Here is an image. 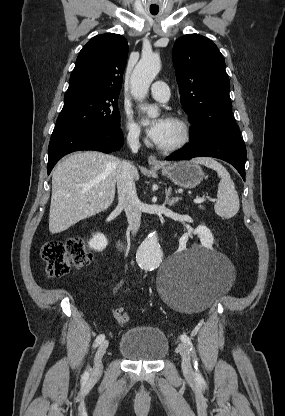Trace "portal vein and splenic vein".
Segmentation results:
<instances>
[{"label":"portal vein and splenic vein","mask_w":285,"mask_h":416,"mask_svg":"<svg viewBox=\"0 0 285 416\" xmlns=\"http://www.w3.org/2000/svg\"><path fill=\"white\" fill-rule=\"evenodd\" d=\"M102 196V194H100ZM194 204H202V202H205L204 198H196V200H193Z\"/></svg>","instance_id":"portal-vein-and-splenic-vein-1"}]
</instances>
